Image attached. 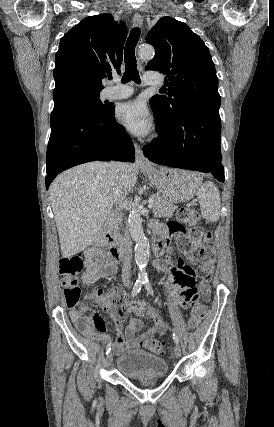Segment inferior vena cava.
I'll use <instances>...</instances> for the list:
<instances>
[{
  "mask_svg": "<svg viewBox=\"0 0 274 427\" xmlns=\"http://www.w3.org/2000/svg\"><path fill=\"white\" fill-rule=\"evenodd\" d=\"M110 168L113 170V172H121L123 170V166H120L118 162H110ZM126 202V194L123 192V190H118L117 196H116V206L117 210H121L123 208L124 204ZM122 245L125 249V251H128L129 255L125 257L124 263L125 265H130L131 263V239H130V233L128 229H124V233L122 235Z\"/></svg>",
  "mask_w": 274,
  "mask_h": 427,
  "instance_id": "1",
  "label": "inferior vena cava"
}]
</instances>
